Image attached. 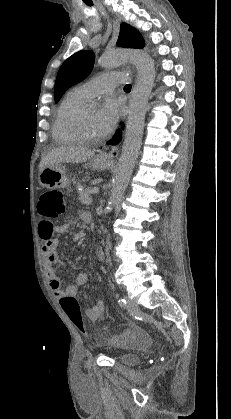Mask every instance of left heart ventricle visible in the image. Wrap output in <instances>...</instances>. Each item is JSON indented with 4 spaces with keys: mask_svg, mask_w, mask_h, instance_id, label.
Masks as SVG:
<instances>
[{
    "mask_svg": "<svg viewBox=\"0 0 231 419\" xmlns=\"http://www.w3.org/2000/svg\"><path fill=\"white\" fill-rule=\"evenodd\" d=\"M98 113L99 111L95 108H88L87 115H86V128L87 131L94 136L103 135L102 129L99 124L98 120Z\"/></svg>",
    "mask_w": 231,
    "mask_h": 419,
    "instance_id": "obj_1",
    "label": "left heart ventricle"
}]
</instances>
